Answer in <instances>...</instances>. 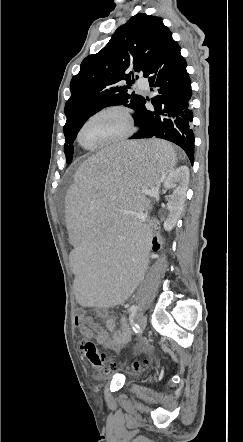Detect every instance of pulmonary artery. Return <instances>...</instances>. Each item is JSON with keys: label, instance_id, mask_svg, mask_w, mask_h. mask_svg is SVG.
Here are the masks:
<instances>
[{"label": "pulmonary artery", "instance_id": "pulmonary-artery-1", "mask_svg": "<svg viewBox=\"0 0 243 442\" xmlns=\"http://www.w3.org/2000/svg\"><path fill=\"white\" fill-rule=\"evenodd\" d=\"M137 89L140 92H147L149 90V84L147 81L144 80H138L137 81Z\"/></svg>", "mask_w": 243, "mask_h": 442}]
</instances>
